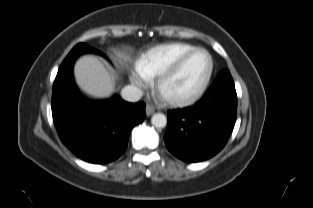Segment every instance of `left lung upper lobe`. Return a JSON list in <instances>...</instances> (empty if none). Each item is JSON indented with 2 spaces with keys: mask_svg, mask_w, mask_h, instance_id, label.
<instances>
[{
  "mask_svg": "<svg viewBox=\"0 0 313 208\" xmlns=\"http://www.w3.org/2000/svg\"><path fill=\"white\" fill-rule=\"evenodd\" d=\"M218 75L221 76V77H226V78H228V79L233 80L228 70H223V71H222L221 73H219Z\"/></svg>",
  "mask_w": 313,
  "mask_h": 208,
  "instance_id": "5c2ea615",
  "label": "left lung upper lobe"
}]
</instances>
